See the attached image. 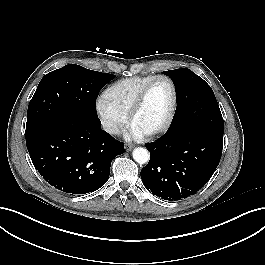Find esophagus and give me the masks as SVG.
Masks as SVG:
<instances>
[{
    "instance_id": "1",
    "label": "esophagus",
    "mask_w": 265,
    "mask_h": 265,
    "mask_svg": "<svg viewBox=\"0 0 265 265\" xmlns=\"http://www.w3.org/2000/svg\"><path fill=\"white\" fill-rule=\"evenodd\" d=\"M132 148H133V146H132V145H129V144H127V145L125 146V150H126L127 152L131 151Z\"/></svg>"
}]
</instances>
